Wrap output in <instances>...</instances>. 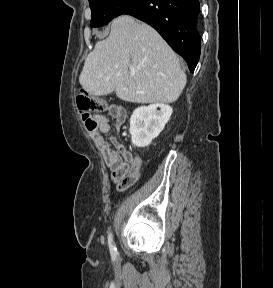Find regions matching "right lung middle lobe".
<instances>
[{"instance_id":"dd1d6c3e","label":"right lung middle lobe","mask_w":273,"mask_h":288,"mask_svg":"<svg viewBox=\"0 0 273 288\" xmlns=\"http://www.w3.org/2000/svg\"><path fill=\"white\" fill-rule=\"evenodd\" d=\"M135 0H89L92 11L91 26L100 27L122 15Z\"/></svg>"}]
</instances>
